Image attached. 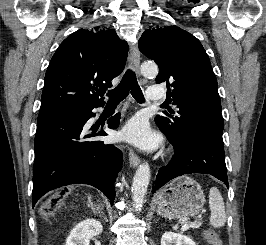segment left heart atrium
Wrapping results in <instances>:
<instances>
[{"label": "left heart atrium", "mask_w": 266, "mask_h": 245, "mask_svg": "<svg viewBox=\"0 0 266 245\" xmlns=\"http://www.w3.org/2000/svg\"><path fill=\"white\" fill-rule=\"evenodd\" d=\"M123 138L141 147L151 148L158 143V137L142 119H132L122 132Z\"/></svg>", "instance_id": "39dd6f15"}]
</instances>
